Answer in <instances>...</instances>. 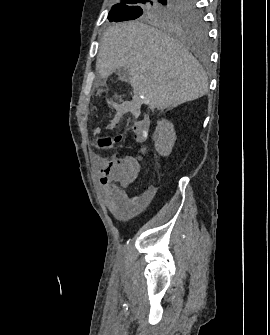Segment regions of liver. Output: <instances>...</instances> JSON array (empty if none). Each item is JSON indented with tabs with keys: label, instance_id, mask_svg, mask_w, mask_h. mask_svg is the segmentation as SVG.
Here are the masks:
<instances>
[{
	"label": "liver",
	"instance_id": "obj_1",
	"mask_svg": "<svg viewBox=\"0 0 270 335\" xmlns=\"http://www.w3.org/2000/svg\"><path fill=\"white\" fill-rule=\"evenodd\" d=\"M129 68L135 96L150 108H176L204 96L207 76L182 44L142 22H120L105 30L96 68L108 78L118 68Z\"/></svg>",
	"mask_w": 270,
	"mask_h": 335
}]
</instances>
